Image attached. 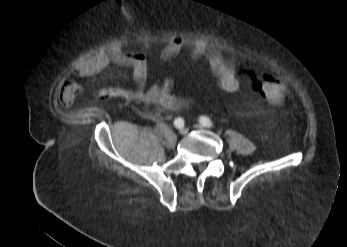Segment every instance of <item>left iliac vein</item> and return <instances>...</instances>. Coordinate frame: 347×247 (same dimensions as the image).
Listing matches in <instances>:
<instances>
[{"instance_id": "4c4485c4", "label": "left iliac vein", "mask_w": 347, "mask_h": 247, "mask_svg": "<svg viewBox=\"0 0 347 247\" xmlns=\"http://www.w3.org/2000/svg\"><path fill=\"white\" fill-rule=\"evenodd\" d=\"M196 127L199 128V129H203V128H204V126H202V125H200V124L197 125Z\"/></svg>"}]
</instances>
